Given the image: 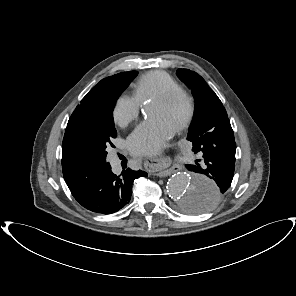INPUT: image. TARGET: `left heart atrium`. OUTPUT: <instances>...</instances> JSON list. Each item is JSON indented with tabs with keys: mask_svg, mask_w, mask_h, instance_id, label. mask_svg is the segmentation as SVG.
<instances>
[{
	"mask_svg": "<svg viewBox=\"0 0 296 296\" xmlns=\"http://www.w3.org/2000/svg\"><path fill=\"white\" fill-rule=\"evenodd\" d=\"M174 132L163 120L152 118L134 129L127 139V146L134 155L153 156L167 145Z\"/></svg>",
	"mask_w": 296,
	"mask_h": 296,
	"instance_id": "39dd6f15",
	"label": "left heart atrium"
}]
</instances>
